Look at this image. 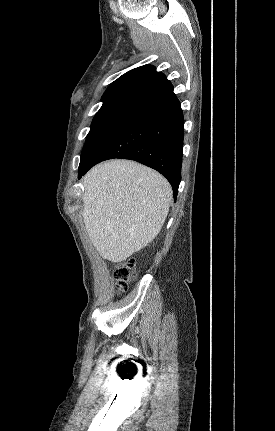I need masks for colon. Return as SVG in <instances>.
<instances>
[{
	"label": "colon",
	"mask_w": 275,
	"mask_h": 431,
	"mask_svg": "<svg viewBox=\"0 0 275 431\" xmlns=\"http://www.w3.org/2000/svg\"><path fill=\"white\" fill-rule=\"evenodd\" d=\"M134 275V261L132 259L115 268V287L118 293H123L127 290L129 283L134 278Z\"/></svg>",
	"instance_id": "obj_1"
}]
</instances>
